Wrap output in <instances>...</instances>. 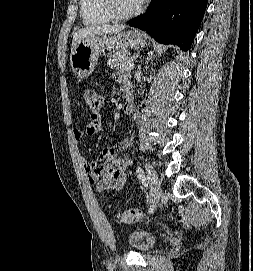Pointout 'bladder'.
Returning <instances> with one entry per match:
<instances>
[{
  "label": "bladder",
  "mask_w": 253,
  "mask_h": 271,
  "mask_svg": "<svg viewBox=\"0 0 253 271\" xmlns=\"http://www.w3.org/2000/svg\"><path fill=\"white\" fill-rule=\"evenodd\" d=\"M128 247L138 253H146L158 244V238L143 229L132 231L127 237Z\"/></svg>",
  "instance_id": "obj_1"
}]
</instances>
